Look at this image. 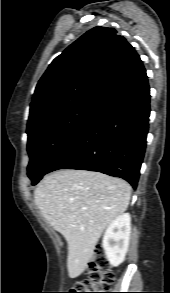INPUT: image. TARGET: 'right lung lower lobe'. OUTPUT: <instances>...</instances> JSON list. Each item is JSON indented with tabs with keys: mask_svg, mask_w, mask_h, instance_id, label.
I'll list each match as a JSON object with an SVG mask.
<instances>
[{
	"mask_svg": "<svg viewBox=\"0 0 170 293\" xmlns=\"http://www.w3.org/2000/svg\"><path fill=\"white\" fill-rule=\"evenodd\" d=\"M150 91L145 78L105 102L87 130L51 165L97 171L137 187L149 129Z\"/></svg>",
	"mask_w": 170,
	"mask_h": 293,
	"instance_id": "obj_1",
	"label": "right lung lower lobe"
}]
</instances>
